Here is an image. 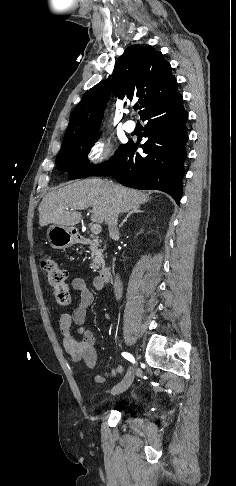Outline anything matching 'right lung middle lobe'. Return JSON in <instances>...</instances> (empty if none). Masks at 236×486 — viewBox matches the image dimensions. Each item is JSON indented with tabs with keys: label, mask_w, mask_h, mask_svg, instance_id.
<instances>
[{
	"label": "right lung middle lobe",
	"mask_w": 236,
	"mask_h": 486,
	"mask_svg": "<svg viewBox=\"0 0 236 486\" xmlns=\"http://www.w3.org/2000/svg\"><path fill=\"white\" fill-rule=\"evenodd\" d=\"M98 138L99 134L96 131L75 141L63 144L56 158L57 167L69 172L70 179H80L92 175L106 163L100 165L90 164L87 158V154ZM123 146L121 145L119 150Z\"/></svg>",
	"instance_id": "right-lung-middle-lobe-1"
}]
</instances>
